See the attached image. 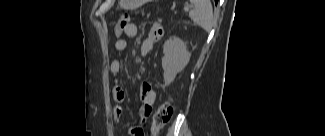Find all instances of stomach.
<instances>
[{
    "mask_svg": "<svg viewBox=\"0 0 325 136\" xmlns=\"http://www.w3.org/2000/svg\"><path fill=\"white\" fill-rule=\"evenodd\" d=\"M143 0H120V5L125 9H133L139 6Z\"/></svg>",
    "mask_w": 325,
    "mask_h": 136,
    "instance_id": "0dacf381",
    "label": "stomach"
}]
</instances>
